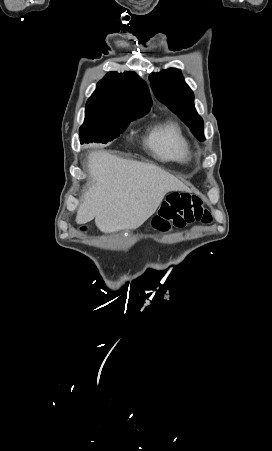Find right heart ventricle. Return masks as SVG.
<instances>
[{"label": "right heart ventricle", "instance_id": "obj_1", "mask_svg": "<svg viewBox=\"0 0 272 451\" xmlns=\"http://www.w3.org/2000/svg\"><path fill=\"white\" fill-rule=\"evenodd\" d=\"M149 145L164 160L180 163L190 160L185 140L174 124L169 123L153 130L149 138Z\"/></svg>", "mask_w": 272, "mask_h": 451}]
</instances>
